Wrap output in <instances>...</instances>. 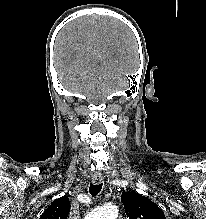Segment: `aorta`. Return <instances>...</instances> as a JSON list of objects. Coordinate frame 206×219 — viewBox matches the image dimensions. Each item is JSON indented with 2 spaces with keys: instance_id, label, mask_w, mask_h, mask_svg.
<instances>
[{
  "instance_id": "1",
  "label": "aorta",
  "mask_w": 206,
  "mask_h": 219,
  "mask_svg": "<svg viewBox=\"0 0 206 219\" xmlns=\"http://www.w3.org/2000/svg\"><path fill=\"white\" fill-rule=\"evenodd\" d=\"M117 215V207L112 204H107L93 210L86 219H116Z\"/></svg>"
}]
</instances>
